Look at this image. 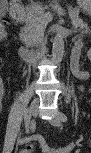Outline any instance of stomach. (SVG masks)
<instances>
[{"label": "stomach", "mask_w": 91, "mask_h": 153, "mask_svg": "<svg viewBox=\"0 0 91 153\" xmlns=\"http://www.w3.org/2000/svg\"><path fill=\"white\" fill-rule=\"evenodd\" d=\"M79 3L86 6V7H84V10H86L87 12L90 11V7H89L90 1L83 0V1H79Z\"/></svg>", "instance_id": "1"}]
</instances>
